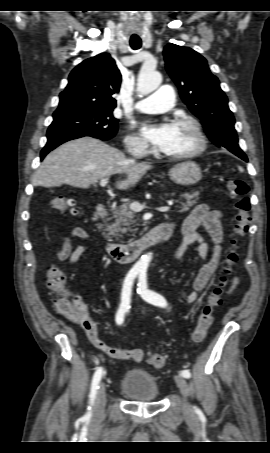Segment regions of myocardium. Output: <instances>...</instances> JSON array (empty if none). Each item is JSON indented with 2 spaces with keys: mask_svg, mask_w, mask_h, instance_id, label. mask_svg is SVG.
Returning a JSON list of instances; mask_svg holds the SVG:
<instances>
[{
  "mask_svg": "<svg viewBox=\"0 0 270 453\" xmlns=\"http://www.w3.org/2000/svg\"><path fill=\"white\" fill-rule=\"evenodd\" d=\"M175 124H183L189 126L195 134L197 145L194 149L179 154H167L162 152V156L169 160H188L202 154L207 147V138L200 123L192 117L181 116L175 119Z\"/></svg>",
  "mask_w": 270,
  "mask_h": 453,
  "instance_id": "obj_1",
  "label": "myocardium"
}]
</instances>
